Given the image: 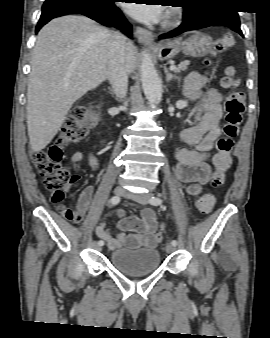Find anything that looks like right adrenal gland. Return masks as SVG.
<instances>
[{"mask_svg":"<svg viewBox=\"0 0 270 338\" xmlns=\"http://www.w3.org/2000/svg\"><path fill=\"white\" fill-rule=\"evenodd\" d=\"M109 91H110V94H111L112 96H114V91H113V89L109 87Z\"/></svg>","mask_w":270,"mask_h":338,"instance_id":"right-adrenal-gland-1","label":"right adrenal gland"}]
</instances>
